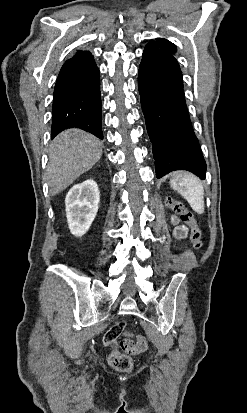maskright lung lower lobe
Here are the masks:
<instances>
[{
    "label": "right lung lower lobe",
    "mask_w": 247,
    "mask_h": 413,
    "mask_svg": "<svg viewBox=\"0 0 247 413\" xmlns=\"http://www.w3.org/2000/svg\"><path fill=\"white\" fill-rule=\"evenodd\" d=\"M99 69L95 61L63 65L53 94L52 139L68 128H81L103 139Z\"/></svg>",
    "instance_id": "98d812e1"
}]
</instances>
